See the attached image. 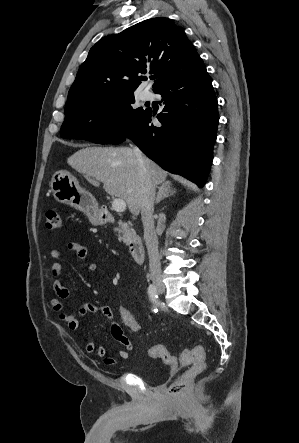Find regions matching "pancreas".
<instances>
[{
  "instance_id": "cf45deb5",
  "label": "pancreas",
  "mask_w": 299,
  "mask_h": 443,
  "mask_svg": "<svg viewBox=\"0 0 299 443\" xmlns=\"http://www.w3.org/2000/svg\"><path fill=\"white\" fill-rule=\"evenodd\" d=\"M119 227L116 228V232L118 234L119 240L124 243H128L132 237L136 235V232L133 228H131V223H125L122 221L118 222Z\"/></svg>"
}]
</instances>
